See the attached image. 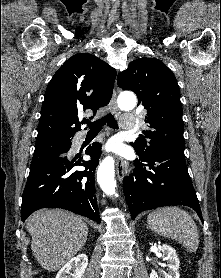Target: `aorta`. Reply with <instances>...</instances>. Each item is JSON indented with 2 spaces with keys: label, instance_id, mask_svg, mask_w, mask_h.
I'll return each instance as SVG.
<instances>
[{
  "label": "aorta",
  "instance_id": "1",
  "mask_svg": "<svg viewBox=\"0 0 221 278\" xmlns=\"http://www.w3.org/2000/svg\"><path fill=\"white\" fill-rule=\"evenodd\" d=\"M136 104L134 96L123 98L119 102L120 108L127 110L132 109ZM114 160L112 157H107L100 164L97 171V181L102 191L107 195H114L116 191V181L114 178Z\"/></svg>",
  "mask_w": 221,
  "mask_h": 278
}]
</instances>
